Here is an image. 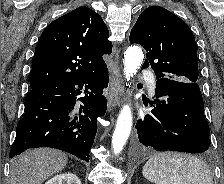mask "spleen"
Here are the masks:
<instances>
[{"label":"spleen","instance_id":"1","mask_svg":"<svg viewBox=\"0 0 224 184\" xmlns=\"http://www.w3.org/2000/svg\"><path fill=\"white\" fill-rule=\"evenodd\" d=\"M143 176L156 184H213L209 168L197 157L183 153H159L143 167Z\"/></svg>","mask_w":224,"mask_h":184}]
</instances>
